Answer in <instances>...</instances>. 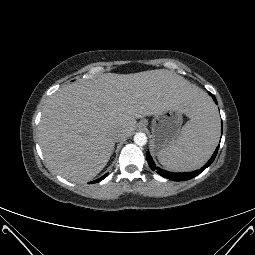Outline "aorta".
<instances>
[{
  "instance_id": "aorta-1",
  "label": "aorta",
  "mask_w": 255,
  "mask_h": 255,
  "mask_svg": "<svg viewBox=\"0 0 255 255\" xmlns=\"http://www.w3.org/2000/svg\"><path fill=\"white\" fill-rule=\"evenodd\" d=\"M134 142L138 146H144L147 143V136L145 133L139 132L134 136Z\"/></svg>"
}]
</instances>
